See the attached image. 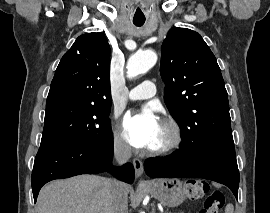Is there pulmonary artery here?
<instances>
[{"label": "pulmonary artery", "instance_id": "1", "mask_svg": "<svg viewBox=\"0 0 270 213\" xmlns=\"http://www.w3.org/2000/svg\"><path fill=\"white\" fill-rule=\"evenodd\" d=\"M156 85L153 81L145 80L128 93L130 100L149 99L155 95Z\"/></svg>", "mask_w": 270, "mask_h": 213}]
</instances>
